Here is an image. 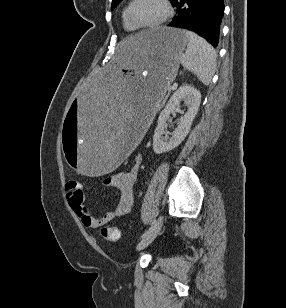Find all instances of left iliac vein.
I'll return each mask as SVG.
<instances>
[{
    "instance_id": "1",
    "label": "left iliac vein",
    "mask_w": 286,
    "mask_h": 308,
    "mask_svg": "<svg viewBox=\"0 0 286 308\" xmlns=\"http://www.w3.org/2000/svg\"><path fill=\"white\" fill-rule=\"evenodd\" d=\"M163 225V217L159 216L152 230L137 245L138 250L146 248L157 237Z\"/></svg>"
}]
</instances>
